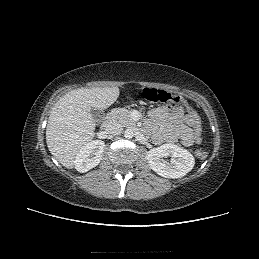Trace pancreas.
Listing matches in <instances>:
<instances>
[{
	"mask_svg": "<svg viewBox=\"0 0 259 259\" xmlns=\"http://www.w3.org/2000/svg\"><path fill=\"white\" fill-rule=\"evenodd\" d=\"M131 111L126 108H116L110 113L111 120L115 123L120 124L123 127L135 126V122L131 119Z\"/></svg>",
	"mask_w": 259,
	"mask_h": 259,
	"instance_id": "1",
	"label": "pancreas"
}]
</instances>
